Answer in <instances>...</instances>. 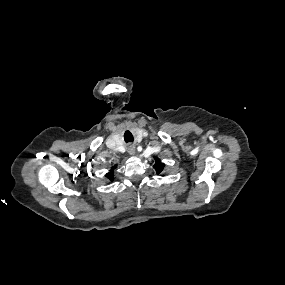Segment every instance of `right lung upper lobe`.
Here are the masks:
<instances>
[{
    "mask_svg": "<svg viewBox=\"0 0 285 285\" xmlns=\"http://www.w3.org/2000/svg\"><path fill=\"white\" fill-rule=\"evenodd\" d=\"M114 168H115V167L112 168V171L114 170ZM106 176H107V178H108L110 181L113 180V173H112V172L107 173Z\"/></svg>",
    "mask_w": 285,
    "mask_h": 285,
    "instance_id": "cb5924a9",
    "label": "right lung upper lobe"
}]
</instances>
